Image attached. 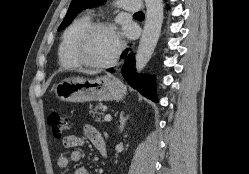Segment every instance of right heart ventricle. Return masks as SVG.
<instances>
[{"label":"right heart ventricle","instance_id":"right-heart-ventricle-1","mask_svg":"<svg viewBox=\"0 0 249 174\" xmlns=\"http://www.w3.org/2000/svg\"><path fill=\"white\" fill-rule=\"evenodd\" d=\"M90 23V18L83 16L75 20L64 32L58 50L59 63L63 68L75 70L82 66L75 57L74 47L78 37Z\"/></svg>","mask_w":249,"mask_h":174}]
</instances>
